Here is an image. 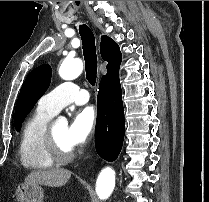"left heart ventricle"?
<instances>
[{
  "label": "left heart ventricle",
  "instance_id": "b2bd125f",
  "mask_svg": "<svg viewBox=\"0 0 209 202\" xmlns=\"http://www.w3.org/2000/svg\"><path fill=\"white\" fill-rule=\"evenodd\" d=\"M68 126L65 123H57L53 125L54 134L58 142L65 148H72L66 139Z\"/></svg>",
  "mask_w": 209,
  "mask_h": 202
}]
</instances>
